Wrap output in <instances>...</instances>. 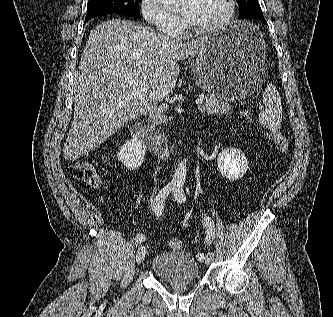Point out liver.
Wrapping results in <instances>:
<instances>
[{
  "instance_id": "6515ba94",
  "label": "liver",
  "mask_w": 333,
  "mask_h": 317,
  "mask_svg": "<svg viewBox=\"0 0 333 317\" xmlns=\"http://www.w3.org/2000/svg\"><path fill=\"white\" fill-rule=\"evenodd\" d=\"M206 40L181 42L123 19L97 25L73 82L74 117L64 159L73 161L94 150L168 96L179 76L177 61L195 57ZM134 89L136 99L129 97Z\"/></svg>"
}]
</instances>
